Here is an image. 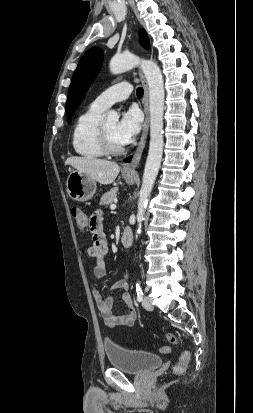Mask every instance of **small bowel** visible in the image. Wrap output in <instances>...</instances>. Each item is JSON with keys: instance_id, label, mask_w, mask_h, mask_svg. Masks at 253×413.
Instances as JSON below:
<instances>
[{"instance_id": "obj_1", "label": "small bowel", "mask_w": 253, "mask_h": 413, "mask_svg": "<svg viewBox=\"0 0 253 413\" xmlns=\"http://www.w3.org/2000/svg\"><path fill=\"white\" fill-rule=\"evenodd\" d=\"M89 230L92 234V244L87 248V256L94 260L93 274L97 279H101L106 275L105 256L108 252V242L103 231V214L101 211L94 212L89 221ZM114 290H122V300L127 306V311L123 315H114L112 313V306L114 302L113 295L103 298L101 292L97 287L92 291L93 298L96 302L97 308L103 318L105 325L108 327L116 326H133L137 312L133 306L132 298L129 293V282L127 275L119 279L115 285Z\"/></svg>"}]
</instances>
